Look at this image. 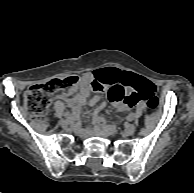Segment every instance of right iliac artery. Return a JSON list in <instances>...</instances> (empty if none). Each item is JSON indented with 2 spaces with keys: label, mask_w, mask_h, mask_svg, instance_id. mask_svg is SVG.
I'll return each mask as SVG.
<instances>
[{
  "label": "right iliac artery",
  "mask_w": 194,
  "mask_h": 193,
  "mask_svg": "<svg viewBox=\"0 0 194 193\" xmlns=\"http://www.w3.org/2000/svg\"><path fill=\"white\" fill-rule=\"evenodd\" d=\"M65 116H66L67 119H72L73 118L72 114H70V113H65Z\"/></svg>",
  "instance_id": "1"
}]
</instances>
